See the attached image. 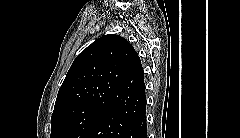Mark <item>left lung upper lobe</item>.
<instances>
[{
	"mask_svg": "<svg viewBox=\"0 0 240 138\" xmlns=\"http://www.w3.org/2000/svg\"><path fill=\"white\" fill-rule=\"evenodd\" d=\"M137 57L133 46L114 34L83 50L59 89L50 138H86Z\"/></svg>",
	"mask_w": 240,
	"mask_h": 138,
	"instance_id": "obj_1",
	"label": "left lung upper lobe"
}]
</instances>
